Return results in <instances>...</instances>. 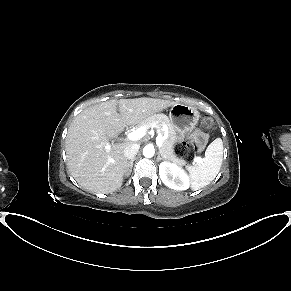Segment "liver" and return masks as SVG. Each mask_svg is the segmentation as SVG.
<instances>
[{"mask_svg": "<svg viewBox=\"0 0 291 291\" xmlns=\"http://www.w3.org/2000/svg\"><path fill=\"white\" fill-rule=\"evenodd\" d=\"M175 104L143 97L109 100L83 110L71 123L65 145L67 167L76 182L98 193L119 189L129 169L124 149L131 143L109 141L118 137L126 126L138 125Z\"/></svg>", "mask_w": 291, "mask_h": 291, "instance_id": "6515ba94", "label": "liver"}]
</instances>
